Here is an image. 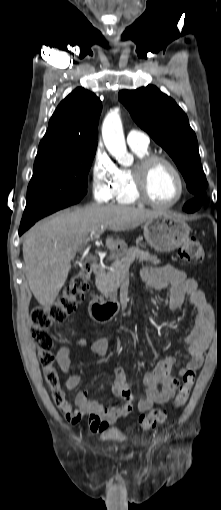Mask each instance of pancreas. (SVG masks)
<instances>
[{
	"instance_id": "pancreas-1",
	"label": "pancreas",
	"mask_w": 221,
	"mask_h": 510,
	"mask_svg": "<svg viewBox=\"0 0 221 510\" xmlns=\"http://www.w3.org/2000/svg\"><path fill=\"white\" fill-rule=\"evenodd\" d=\"M150 262L152 264H160V260L155 255H151L147 251L141 250L139 247H131L126 254L115 260L108 268L106 273H102L97 278V287L106 297L114 298L117 295V289L120 286L121 274L128 270L132 262Z\"/></svg>"
}]
</instances>
